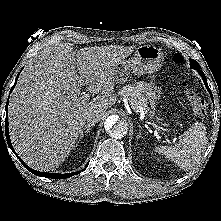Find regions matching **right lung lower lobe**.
I'll return each instance as SVG.
<instances>
[{"instance_id": "1", "label": "right lung lower lobe", "mask_w": 221, "mask_h": 221, "mask_svg": "<svg viewBox=\"0 0 221 221\" xmlns=\"http://www.w3.org/2000/svg\"><path fill=\"white\" fill-rule=\"evenodd\" d=\"M19 76V74H18ZM18 76L16 78V81L18 79ZM16 81L14 83V86L16 84ZM14 86L12 87L11 91L13 90ZM10 91V92H11ZM7 105H8V101H7V104H6V111H7ZM0 127H1V124H0ZM1 130H2V127H1ZM5 135H6V139H7V143H8V146L10 147V149L15 153L13 147H12V144H11V141H10V138H9V131H8V117L6 116V119H5ZM16 154V153H15ZM17 156V155H16ZM18 157V156H17ZM19 158V157H18ZM19 160L21 161V163L23 164V166L29 170L31 173L37 175V176H42V177H46V178H51V179H64V178H68V177H71L73 175H76L79 172H76V173H67V174H57V173H45V172H38L36 170H33L32 168L28 167L20 158ZM83 171V170H82Z\"/></svg>"}]
</instances>
